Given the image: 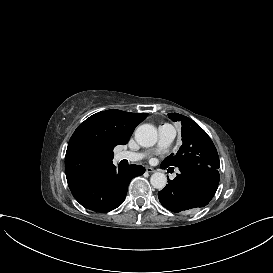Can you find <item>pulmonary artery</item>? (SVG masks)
Wrapping results in <instances>:
<instances>
[{
	"label": "pulmonary artery",
	"mask_w": 273,
	"mask_h": 273,
	"mask_svg": "<svg viewBox=\"0 0 273 273\" xmlns=\"http://www.w3.org/2000/svg\"><path fill=\"white\" fill-rule=\"evenodd\" d=\"M175 131H176V127L172 123L162 126L161 134L165 137L157 141V146L159 148H165L170 146L172 142L176 139ZM147 157H148V152L146 150H136V151H131L130 153L128 151H122L119 154V159L121 161H126L129 158L131 160L146 159Z\"/></svg>",
	"instance_id": "pulmonary-artery-1"
}]
</instances>
